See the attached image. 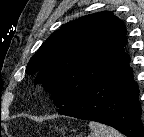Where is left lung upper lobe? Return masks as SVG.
Returning <instances> with one entry per match:
<instances>
[{
    "label": "left lung upper lobe",
    "mask_w": 144,
    "mask_h": 137,
    "mask_svg": "<svg viewBox=\"0 0 144 137\" xmlns=\"http://www.w3.org/2000/svg\"><path fill=\"white\" fill-rule=\"evenodd\" d=\"M126 27L109 11L83 16L50 35L29 61L58 108L74 102L118 68L128 57Z\"/></svg>",
    "instance_id": "5c2ea615"
}]
</instances>
